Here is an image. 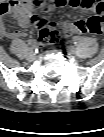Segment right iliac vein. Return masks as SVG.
<instances>
[{"label":"right iliac vein","instance_id":"obj_1","mask_svg":"<svg viewBox=\"0 0 104 137\" xmlns=\"http://www.w3.org/2000/svg\"><path fill=\"white\" fill-rule=\"evenodd\" d=\"M35 59H36L35 54L30 52L27 56V60L28 61H34Z\"/></svg>","mask_w":104,"mask_h":137}]
</instances>
